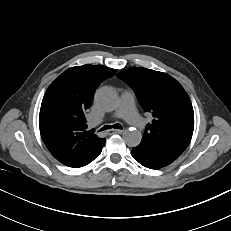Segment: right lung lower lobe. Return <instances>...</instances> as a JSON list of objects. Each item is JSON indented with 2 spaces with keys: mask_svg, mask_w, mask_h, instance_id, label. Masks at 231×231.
Returning a JSON list of instances; mask_svg holds the SVG:
<instances>
[{
  "mask_svg": "<svg viewBox=\"0 0 231 231\" xmlns=\"http://www.w3.org/2000/svg\"><path fill=\"white\" fill-rule=\"evenodd\" d=\"M101 149H99L94 155H92L90 158H88L84 163H82L81 165L79 166H76L75 168L77 167H82V166H85L87 164H89L90 162H92L95 158H97L99 156V154L101 153Z\"/></svg>",
  "mask_w": 231,
  "mask_h": 231,
  "instance_id": "98d812e1",
  "label": "right lung lower lobe"
}]
</instances>
